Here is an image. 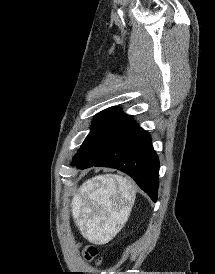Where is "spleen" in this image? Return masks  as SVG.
<instances>
[{
    "label": "spleen",
    "mask_w": 215,
    "mask_h": 274,
    "mask_svg": "<svg viewBox=\"0 0 215 274\" xmlns=\"http://www.w3.org/2000/svg\"><path fill=\"white\" fill-rule=\"evenodd\" d=\"M135 195L131 181L118 175L98 176L84 183L73 200L74 214L83 211L78 220L83 234L91 241L109 240L114 221L129 213Z\"/></svg>",
    "instance_id": "3e777b00"
}]
</instances>
